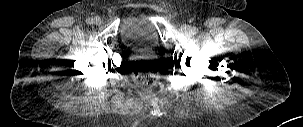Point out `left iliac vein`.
Instances as JSON below:
<instances>
[{"instance_id":"1","label":"left iliac vein","mask_w":303,"mask_h":127,"mask_svg":"<svg viewBox=\"0 0 303 127\" xmlns=\"http://www.w3.org/2000/svg\"><path fill=\"white\" fill-rule=\"evenodd\" d=\"M181 31L185 34H190L192 33V28L189 25H183Z\"/></svg>"}]
</instances>
